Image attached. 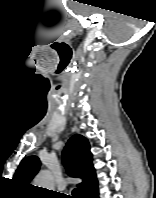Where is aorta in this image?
<instances>
[{
	"label": "aorta",
	"mask_w": 156,
	"mask_h": 198,
	"mask_svg": "<svg viewBox=\"0 0 156 198\" xmlns=\"http://www.w3.org/2000/svg\"><path fill=\"white\" fill-rule=\"evenodd\" d=\"M34 184L35 186L51 190L54 185V177L50 171L44 170L37 175Z\"/></svg>",
	"instance_id": "1"
}]
</instances>
